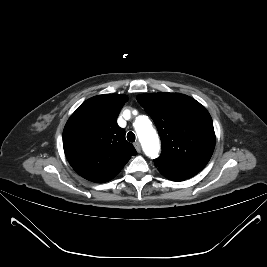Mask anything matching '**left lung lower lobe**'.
<instances>
[{
  "instance_id": "1",
  "label": "left lung lower lobe",
  "mask_w": 267,
  "mask_h": 267,
  "mask_svg": "<svg viewBox=\"0 0 267 267\" xmlns=\"http://www.w3.org/2000/svg\"><path fill=\"white\" fill-rule=\"evenodd\" d=\"M158 170L162 175H164L166 178H168L172 181H183L185 179H188V178L177 175V174L170 172V171H167V170H161V169H158Z\"/></svg>"
}]
</instances>
